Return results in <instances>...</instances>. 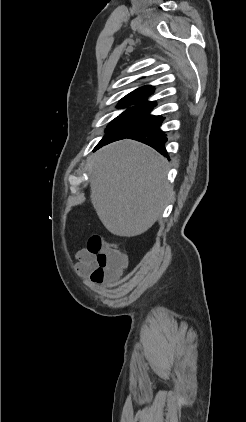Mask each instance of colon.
<instances>
[{
	"label": "colon",
	"instance_id": "colon-1",
	"mask_svg": "<svg viewBox=\"0 0 246 422\" xmlns=\"http://www.w3.org/2000/svg\"><path fill=\"white\" fill-rule=\"evenodd\" d=\"M87 250L96 255L97 267L92 273L94 279L113 278L126 265L125 255L117 247L106 243L99 235H93L89 238Z\"/></svg>",
	"mask_w": 246,
	"mask_h": 422
}]
</instances>
